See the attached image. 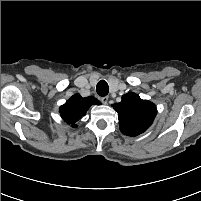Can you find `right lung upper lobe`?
<instances>
[{"mask_svg":"<svg viewBox=\"0 0 201 201\" xmlns=\"http://www.w3.org/2000/svg\"><path fill=\"white\" fill-rule=\"evenodd\" d=\"M100 104V101L92 96L83 98L75 94L60 107L59 112L66 123L76 127L75 123L86 114L91 105Z\"/></svg>","mask_w":201,"mask_h":201,"instance_id":"1","label":"right lung upper lobe"}]
</instances>
